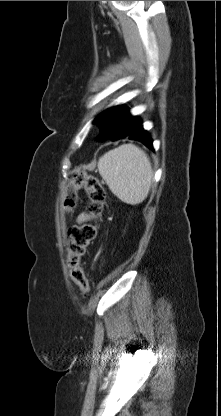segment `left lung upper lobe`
<instances>
[{
	"label": "left lung upper lobe",
	"instance_id": "obj_1",
	"mask_svg": "<svg viewBox=\"0 0 221 416\" xmlns=\"http://www.w3.org/2000/svg\"><path fill=\"white\" fill-rule=\"evenodd\" d=\"M134 117L124 105L115 106L99 114L93 123L101 128V137L112 140L126 137L130 131Z\"/></svg>",
	"mask_w": 221,
	"mask_h": 416
}]
</instances>
